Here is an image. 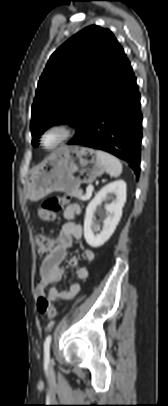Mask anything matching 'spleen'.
Listing matches in <instances>:
<instances>
[{"mask_svg": "<svg viewBox=\"0 0 168 406\" xmlns=\"http://www.w3.org/2000/svg\"><path fill=\"white\" fill-rule=\"evenodd\" d=\"M96 154L110 176L118 177L122 173V164L116 157L101 150L96 151Z\"/></svg>", "mask_w": 168, "mask_h": 406, "instance_id": "3e777b00", "label": "spleen"}]
</instances>
